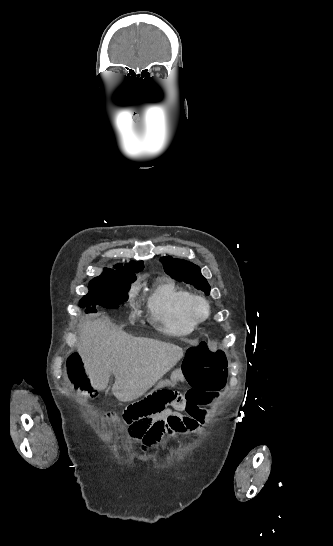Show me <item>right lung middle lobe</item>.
<instances>
[{"label": "right lung middle lobe", "mask_w": 333, "mask_h": 546, "mask_svg": "<svg viewBox=\"0 0 333 546\" xmlns=\"http://www.w3.org/2000/svg\"><path fill=\"white\" fill-rule=\"evenodd\" d=\"M135 280V273L104 270L102 275L89 282V292L80 300L79 305L80 307L102 305L105 308H118L120 303L127 300L131 283ZM91 309H87L86 312Z\"/></svg>", "instance_id": "dd1d6c3e"}]
</instances>
